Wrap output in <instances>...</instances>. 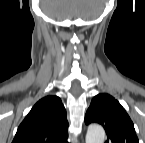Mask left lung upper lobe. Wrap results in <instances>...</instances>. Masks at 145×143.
Wrapping results in <instances>:
<instances>
[{
    "label": "left lung upper lobe",
    "instance_id": "1",
    "mask_svg": "<svg viewBox=\"0 0 145 143\" xmlns=\"http://www.w3.org/2000/svg\"><path fill=\"white\" fill-rule=\"evenodd\" d=\"M91 122L104 127L108 137L106 143H139L130 117L109 94H98L91 101L85 123Z\"/></svg>",
    "mask_w": 145,
    "mask_h": 143
}]
</instances>
